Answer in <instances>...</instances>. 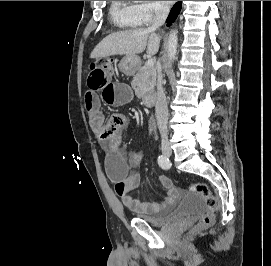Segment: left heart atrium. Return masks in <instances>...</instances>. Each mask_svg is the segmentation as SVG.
<instances>
[{
	"label": "left heart atrium",
	"instance_id": "obj_1",
	"mask_svg": "<svg viewBox=\"0 0 271 266\" xmlns=\"http://www.w3.org/2000/svg\"><path fill=\"white\" fill-rule=\"evenodd\" d=\"M165 3H170V2H172V1H164Z\"/></svg>",
	"mask_w": 271,
	"mask_h": 266
}]
</instances>
